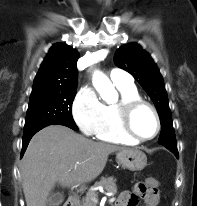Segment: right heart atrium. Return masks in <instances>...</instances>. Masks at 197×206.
<instances>
[{
  "instance_id": "d8ad5b80",
  "label": "right heart atrium",
  "mask_w": 197,
  "mask_h": 206,
  "mask_svg": "<svg viewBox=\"0 0 197 206\" xmlns=\"http://www.w3.org/2000/svg\"><path fill=\"white\" fill-rule=\"evenodd\" d=\"M103 104L90 86L80 88L72 104V116L85 135H94L101 120Z\"/></svg>"
}]
</instances>
